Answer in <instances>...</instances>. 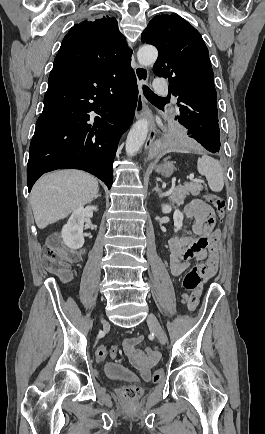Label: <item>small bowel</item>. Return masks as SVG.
Instances as JSON below:
<instances>
[{"instance_id":"obj_1","label":"small bowel","mask_w":265,"mask_h":434,"mask_svg":"<svg viewBox=\"0 0 265 434\" xmlns=\"http://www.w3.org/2000/svg\"><path fill=\"white\" fill-rule=\"evenodd\" d=\"M186 219L192 220V235L174 234L169 240V267L173 276H180L190 266L193 259L205 260L199 276L203 280L215 275L218 263L217 242L220 236L216 229V217L209 204L202 199L191 201L185 209ZM207 275V276H206ZM202 292L194 290L191 308L197 309ZM124 350L136 366L143 380L150 381V367L159 359L156 347L144 345V336L128 337L123 342Z\"/></svg>"}]
</instances>
